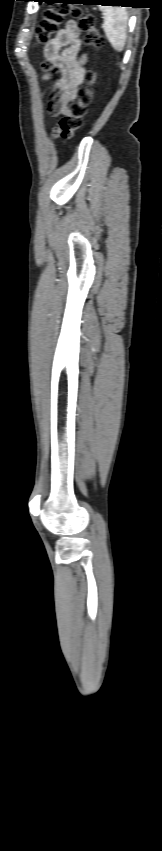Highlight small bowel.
Returning a JSON list of instances; mask_svg holds the SVG:
<instances>
[{
	"label": "small bowel",
	"instance_id": "1",
	"mask_svg": "<svg viewBox=\"0 0 162 851\" xmlns=\"http://www.w3.org/2000/svg\"><path fill=\"white\" fill-rule=\"evenodd\" d=\"M80 47L79 28L75 21L69 20L43 48L46 61L42 63V69H54L58 73L54 83L55 93L49 100V111L54 116L68 112L84 80L86 56L81 53ZM42 79L48 81L50 76L45 74ZM54 134L58 136L56 131Z\"/></svg>",
	"mask_w": 162,
	"mask_h": 851
}]
</instances>
